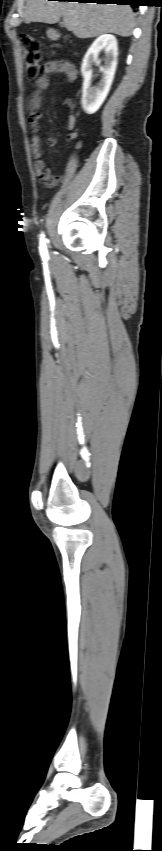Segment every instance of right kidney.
Segmentation results:
<instances>
[{
    "instance_id": "obj_1",
    "label": "right kidney",
    "mask_w": 162,
    "mask_h": 851,
    "mask_svg": "<svg viewBox=\"0 0 162 851\" xmlns=\"http://www.w3.org/2000/svg\"><path fill=\"white\" fill-rule=\"evenodd\" d=\"M102 51L105 53V65L100 67L103 76L96 86H92L93 65L98 61V55ZM117 56V40L110 34L99 36L86 52L81 65L84 78L81 104L87 114L95 113L106 99L114 79Z\"/></svg>"
}]
</instances>
